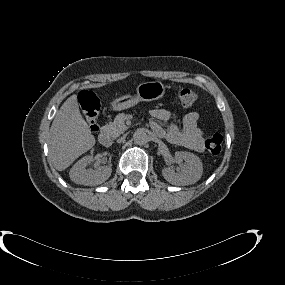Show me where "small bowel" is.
I'll return each instance as SVG.
<instances>
[{
	"label": "small bowel",
	"instance_id": "small-bowel-1",
	"mask_svg": "<svg viewBox=\"0 0 285 285\" xmlns=\"http://www.w3.org/2000/svg\"><path fill=\"white\" fill-rule=\"evenodd\" d=\"M150 114L153 118L150 126L158 136L173 145L182 146L195 152L204 151V133L198 126L199 115L196 112L185 115L182 127L174 124L162 126V123H168L171 119V114L166 109L155 108L151 110Z\"/></svg>",
	"mask_w": 285,
	"mask_h": 285
}]
</instances>
